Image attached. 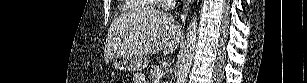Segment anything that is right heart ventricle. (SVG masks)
I'll return each instance as SVG.
<instances>
[{"label": "right heart ventricle", "mask_w": 307, "mask_h": 83, "mask_svg": "<svg viewBox=\"0 0 307 83\" xmlns=\"http://www.w3.org/2000/svg\"><path fill=\"white\" fill-rule=\"evenodd\" d=\"M154 7L153 1L127 0V9L130 11L147 10Z\"/></svg>", "instance_id": "1"}]
</instances>
